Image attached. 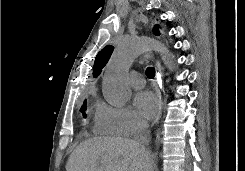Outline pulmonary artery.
I'll list each match as a JSON object with an SVG mask.
<instances>
[{
    "mask_svg": "<svg viewBox=\"0 0 245 171\" xmlns=\"http://www.w3.org/2000/svg\"><path fill=\"white\" fill-rule=\"evenodd\" d=\"M130 85L135 89H141L144 87V79L138 72H132L128 76Z\"/></svg>",
    "mask_w": 245,
    "mask_h": 171,
    "instance_id": "obj_1",
    "label": "pulmonary artery"
}]
</instances>
